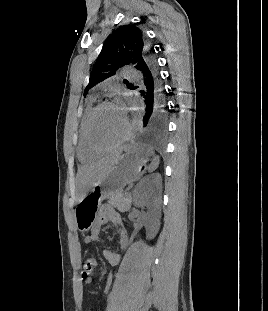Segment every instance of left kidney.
Instances as JSON below:
<instances>
[{"instance_id":"1","label":"left kidney","mask_w":268,"mask_h":311,"mask_svg":"<svg viewBox=\"0 0 268 311\" xmlns=\"http://www.w3.org/2000/svg\"><path fill=\"white\" fill-rule=\"evenodd\" d=\"M162 177L159 173L144 177L133 191V204L136 207H147L148 212L140 218L146 228V237L153 239L160 227V204Z\"/></svg>"}]
</instances>
